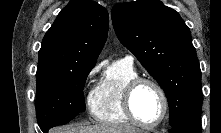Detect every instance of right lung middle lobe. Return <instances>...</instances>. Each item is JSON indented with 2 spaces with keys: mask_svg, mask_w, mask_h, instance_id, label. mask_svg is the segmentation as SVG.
Masks as SVG:
<instances>
[{
  "mask_svg": "<svg viewBox=\"0 0 221 133\" xmlns=\"http://www.w3.org/2000/svg\"><path fill=\"white\" fill-rule=\"evenodd\" d=\"M96 62L37 71L36 114L40 129L63 125L85 110L83 88Z\"/></svg>",
  "mask_w": 221,
  "mask_h": 133,
  "instance_id": "dd1d6c3e",
  "label": "right lung middle lobe"
}]
</instances>
